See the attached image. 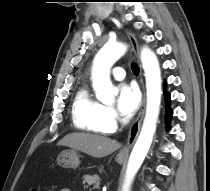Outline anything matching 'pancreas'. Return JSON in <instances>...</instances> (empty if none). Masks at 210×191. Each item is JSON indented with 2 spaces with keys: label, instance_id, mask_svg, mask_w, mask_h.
I'll use <instances>...</instances> for the list:
<instances>
[{
  "label": "pancreas",
  "instance_id": "cf45deb5",
  "mask_svg": "<svg viewBox=\"0 0 210 191\" xmlns=\"http://www.w3.org/2000/svg\"><path fill=\"white\" fill-rule=\"evenodd\" d=\"M83 184L85 187L89 188L90 186H93L92 189H99L100 186V177L98 175L90 176L85 175L83 177Z\"/></svg>",
  "mask_w": 210,
  "mask_h": 191
}]
</instances>
